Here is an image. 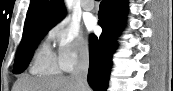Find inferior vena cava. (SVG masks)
<instances>
[{
    "instance_id": "1",
    "label": "inferior vena cava",
    "mask_w": 173,
    "mask_h": 91,
    "mask_svg": "<svg viewBox=\"0 0 173 91\" xmlns=\"http://www.w3.org/2000/svg\"><path fill=\"white\" fill-rule=\"evenodd\" d=\"M88 68L89 50L88 47H84L79 53L78 60L71 74V77L77 82L79 91H87L89 88L87 83Z\"/></svg>"
}]
</instances>
